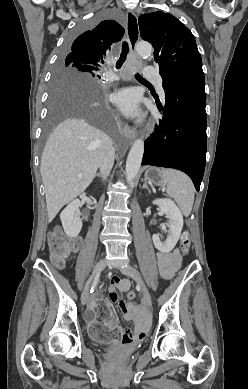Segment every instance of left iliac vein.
<instances>
[{
	"label": "left iliac vein",
	"instance_id": "4c4485c4",
	"mask_svg": "<svg viewBox=\"0 0 248 389\" xmlns=\"http://www.w3.org/2000/svg\"><path fill=\"white\" fill-rule=\"evenodd\" d=\"M120 272L127 275V276H130L139 284V286L142 289L145 303H146L147 307L150 309L152 306L151 296H150L149 290H148L146 284L144 283L140 273L135 268H133L132 266L127 265V264L120 267Z\"/></svg>",
	"mask_w": 248,
	"mask_h": 389
}]
</instances>
